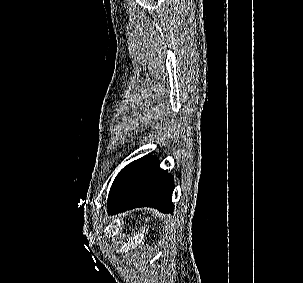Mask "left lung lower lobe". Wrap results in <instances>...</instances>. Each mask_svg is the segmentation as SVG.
<instances>
[{
  "label": "left lung lower lobe",
  "instance_id": "0a47b994",
  "mask_svg": "<svg viewBox=\"0 0 303 283\" xmlns=\"http://www.w3.org/2000/svg\"><path fill=\"white\" fill-rule=\"evenodd\" d=\"M173 178L159 166L157 157L144 156L125 166L116 176L108 196V211L116 214L149 206L171 212Z\"/></svg>",
  "mask_w": 303,
  "mask_h": 283
}]
</instances>
